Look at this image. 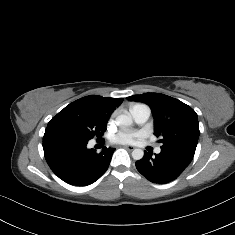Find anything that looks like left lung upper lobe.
Instances as JSON below:
<instances>
[{"label":"left lung upper lobe","instance_id":"1","mask_svg":"<svg viewBox=\"0 0 235 235\" xmlns=\"http://www.w3.org/2000/svg\"><path fill=\"white\" fill-rule=\"evenodd\" d=\"M127 99L149 105L154 116V134L161 138L162 148L177 149L194 156L199 126L198 116L190 106L160 93H144Z\"/></svg>","mask_w":235,"mask_h":235}]
</instances>
